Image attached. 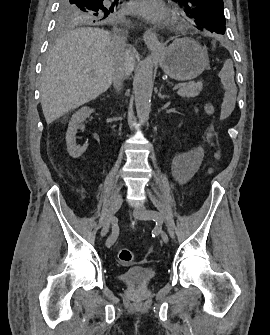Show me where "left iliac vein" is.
<instances>
[{"label": "left iliac vein", "mask_w": 270, "mask_h": 335, "mask_svg": "<svg viewBox=\"0 0 270 335\" xmlns=\"http://www.w3.org/2000/svg\"><path fill=\"white\" fill-rule=\"evenodd\" d=\"M147 211H148L147 209L142 208V207L141 208H135L133 210L132 214L137 219H140V220H150L151 217L148 216ZM158 229H159V233H160V236H161L162 240L165 243H167L169 241V237H168L167 233L164 230H162V228H158Z\"/></svg>", "instance_id": "left-iliac-vein-1"}]
</instances>
